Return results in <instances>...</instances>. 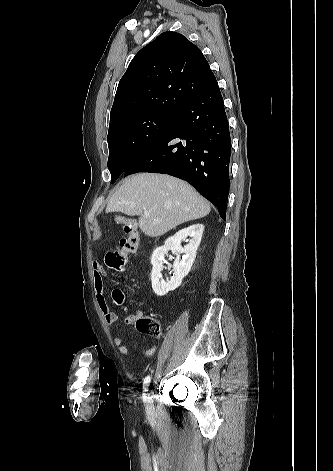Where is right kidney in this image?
<instances>
[{"label":"right kidney","instance_id":"1","mask_svg":"<svg viewBox=\"0 0 333 471\" xmlns=\"http://www.w3.org/2000/svg\"><path fill=\"white\" fill-rule=\"evenodd\" d=\"M204 226L194 224L177 232L174 236L168 238L163 246L156 248L151 257L152 271L151 282L154 293L157 296H164L169 291L175 290L182 282L183 278L189 273L195 257L198 246L201 242ZM190 237V239H187ZM186 240L187 244L182 247L181 242ZM169 250L184 253L182 260L177 256L173 263V276L165 281L162 276L164 257Z\"/></svg>","mask_w":333,"mask_h":471}]
</instances>
